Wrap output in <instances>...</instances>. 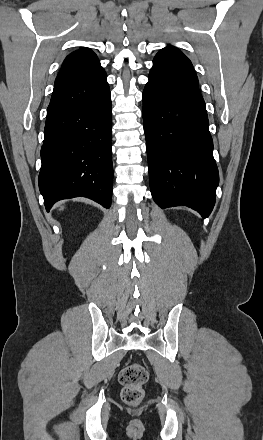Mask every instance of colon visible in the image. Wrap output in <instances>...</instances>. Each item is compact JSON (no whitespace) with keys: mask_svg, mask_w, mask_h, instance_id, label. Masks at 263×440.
Segmentation results:
<instances>
[{"mask_svg":"<svg viewBox=\"0 0 263 440\" xmlns=\"http://www.w3.org/2000/svg\"><path fill=\"white\" fill-rule=\"evenodd\" d=\"M147 369L139 363H132L124 367L119 374V381L123 388L121 398L127 405L136 406L144 398V384L148 381Z\"/></svg>","mask_w":263,"mask_h":440,"instance_id":"1","label":"colon"}]
</instances>
